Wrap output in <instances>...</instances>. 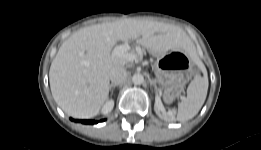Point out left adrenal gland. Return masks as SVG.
I'll use <instances>...</instances> for the list:
<instances>
[{
	"mask_svg": "<svg viewBox=\"0 0 261 150\" xmlns=\"http://www.w3.org/2000/svg\"><path fill=\"white\" fill-rule=\"evenodd\" d=\"M153 85V81L152 80H150V86H152Z\"/></svg>",
	"mask_w": 261,
	"mask_h": 150,
	"instance_id": "1",
	"label": "left adrenal gland"
}]
</instances>
